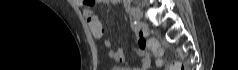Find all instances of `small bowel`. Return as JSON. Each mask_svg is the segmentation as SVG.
<instances>
[{
  "mask_svg": "<svg viewBox=\"0 0 238 70\" xmlns=\"http://www.w3.org/2000/svg\"><path fill=\"white\" fill-rule=\"evenodd\" d=\"M98 2L101 4H107V3H114L115 0H99ZM80 4L83 5V15L87 20V23L90 28L92 36L96 39L102 38V36L104 34V28H103V25H102L99 17L96 14H94V12L91 8V4L88 2H82V1H80ZM147 42L148 41L146 40V38L144 36L141 35L139 37L136 54L138 56H141L142 60H141L140 67H135V68H133V70H147L150 68V58L148 56H146V54H145L146 49L148 48ZM104 45L106 47H110L111 40L105 39ZM109 56L116 62H119V63L125 62V54L121 48H117L116 50L109 51ZM116 69L129 70L128 68H125V67H117Z\"/></svg>",
  "mask_w": 238,
  "mask_h": 70,
  "instance_id": "small-bowel-1",
  "label": "small bowel"
}]
</instances>
